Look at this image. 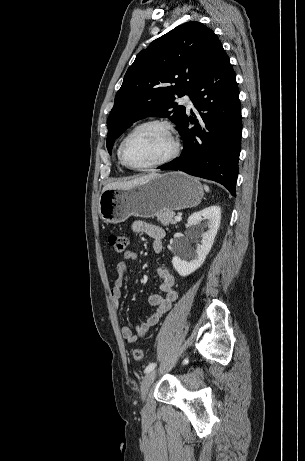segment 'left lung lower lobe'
I'll list each match as a JSON object with an SVG mask.
<instances>
[{
    "label": "left lung lower lobe",
    "mask_w": 305,
    "mask_h": 461,
    "mask_svg": "<svg viewBox=\"0 0 305 461\" xmlns=\"http://www.w3.org/2000/svg\"><path fill=\"white\" fill-rule=\"evenodd\" d=\"M189 96L200 116L186 115L178 127L184 142L180 157L159 168L214 180L236 196L242 117L235 73L224 49Z\"/></svg>",
    "instance_id": "0a47b994"
}]
</instances>
